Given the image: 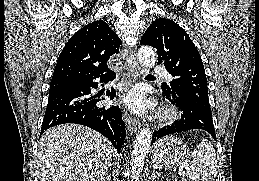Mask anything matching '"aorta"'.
<instances>
[{"label": "aorta", "mask_w": 259, "mask_h": 181, "mask_svg": "<svg viewBox=\"0 0 259 181\" xmlns=\"http://www.w3.org/2000/svg\"><path fill=\"white\" fill-rule=\"evenodd\" d=\"M138 59L140 64L145 68L151 67L155 63V52L152 48L144 46L138 51ZM152 140V133L148 126L142 128L136 137V141L131 153V170L132 174L137 178L140 175L144 161L148 154Z\"/></svg>", "instance_id": "aorta-1"}]
</instances>
